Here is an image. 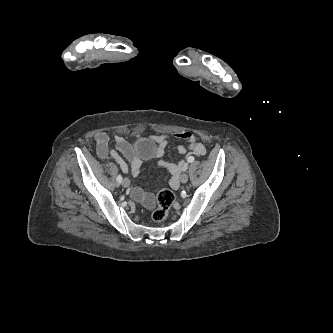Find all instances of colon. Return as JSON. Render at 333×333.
Instances as JSON below:
<instances>
[{"label": "colon", "mask_w": 333, "mask_h": 333, "mask_svg": "<svg viewBox=\"0 0 333 333\" xmlns=\"http://www.w3.org/2000/svg\"><path fill=\"white\" fill-rule=\"evenodd\" d=\"M175 201V195L168 189H162L157 196V208L152 214L155 222H163L169 216L170 208Z\"/></svg>", "instance_id": "5ec220e1"}]
</instances>
